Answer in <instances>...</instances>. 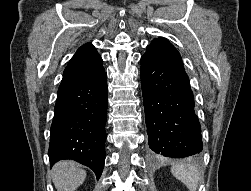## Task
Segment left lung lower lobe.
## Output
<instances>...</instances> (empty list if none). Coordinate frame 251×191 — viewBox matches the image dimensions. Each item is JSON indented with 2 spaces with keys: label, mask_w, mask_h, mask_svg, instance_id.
I'll return each instance as SVG.
<instances>
[{
  "label": "left lung lower lobe",
  "mask_w": 251,
  "mask_h": 191,
  "mask_svg": "<svg viewBox=\"0 0 251 191\" xmlns=\"http://www.w3.org/2000/svg\"><path fill=\"white\" fill-rule=\"evenodd\" d=\"M140 75L151 154L170 158L199 154L201 127L185 68L146 50Z\"/></svg>",
  "instance_id": "left-lung-lower-lobe-1"
}]
</instances>
